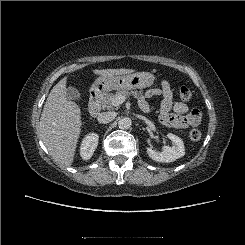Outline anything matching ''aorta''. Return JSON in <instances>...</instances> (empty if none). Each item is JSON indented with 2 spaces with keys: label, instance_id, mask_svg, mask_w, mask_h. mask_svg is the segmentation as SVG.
I'll return each instance as SVG.
<instances>
[{
  "label": "aorta",
  "instance_id": "762f6f07",
  "mask_svg": "<svg viewBox=\"0 0 245 245\" xmlns=\"http://www.w3.org/2000/svg\"><path fill=\"white\" fill-rule=\"evenodd\" d=\"M132 125V120L129 117H123L118 121L120 129H129Z\"/></svg>",
  "mask_w": 245,
  "mask_h": 245
}]
</instances>
